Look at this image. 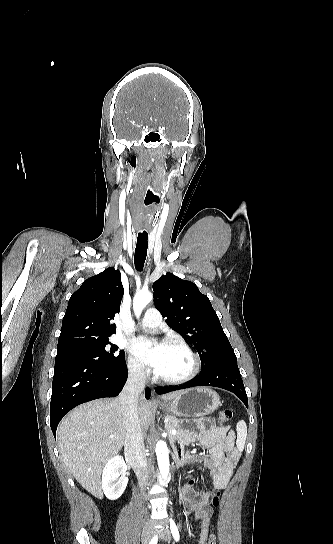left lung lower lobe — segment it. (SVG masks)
<instances>
[{
  "mask_svg": "<svg viewBox=\"0 0 333 544\" xmlns=\"http://www.w3.org/2000/svg\"><path fill=\"white\" fill-rule=\"evenodd\" d=\"M195 386H214L226 389L238 396L246 407H248L247 394L238 369L237 362L225 361L211 364L202 369L197 377L190 382L172 387H157L158 394H165L171 391L195 387Z\"/></svg>",
  "mask_w": 333,
  "mask_h": 544,
  "instance_id": "0a47b994",
  "label": "left lung lower lobe"
}]
</instances>
